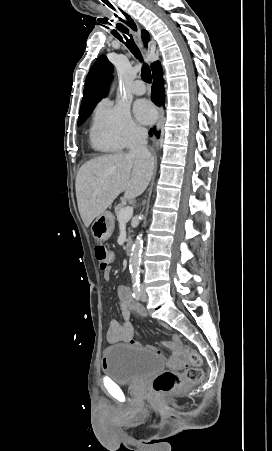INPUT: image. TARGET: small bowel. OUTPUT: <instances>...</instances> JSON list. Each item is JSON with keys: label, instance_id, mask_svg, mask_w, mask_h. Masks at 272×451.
Instances as JSON below:
<instances>
[{"label": "small bowel", "instance_id": "c3829d8e", "mask_svg": "<svg viewBox=\"0 0 272 451\" xmlns=\"http://www.w3.org/2000/svg\"><path fill=\"white\" fill-rule=\"evenodd\" d=\"M104 278L105 280H109L110 267L104 270ZM118 296L120 298L118 310L120 313L121 321H118L116 319L111 320L109 328L106 332L105 339L109 344L127 343L133 346H140V342L136 339L134 325L131 322V302L127 288L121 286L118 290ZM137 310L140 311V308L137 307ZM162 345L167 349L179 348L182 345V341L178 334H173L172 340L163 341ZM149 349L154 352L160 353L158 348L154 346H149Z\"/></svg>", "mask_w": 272, "mask_h": 451}]
</instances>
